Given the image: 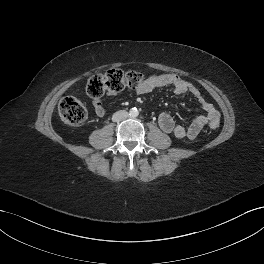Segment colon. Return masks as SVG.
Wrapping results in <instances>:
<instances>
[{
    "label": "colon",
    "mask_w": 264,
    "mask_h": 264,
    "mask_svg": "<svg viewBox=\"0 0 264 264\" xmlns=\"http://www.w3.org/2000/svg\"><path fill=\"white\" fill-rule=\"evenodd\" d=\"M143 77L138 72H123L112 69L105 74H96L89 78L86 84V94L92 98H99L104 93L115 94L125 88H139ZM59 115L68 125H78L85 121L87 111L84 105L74 97H64L58 106ZM219 121H211L209 127L216 129Z\"/></svg>",
    "instance_id": "obj_1"
}]
</instances>
